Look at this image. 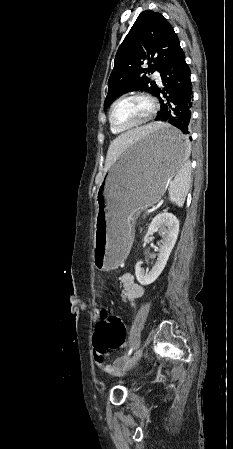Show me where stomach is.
Masks as SVG:
<instances>
[{
    "mask_svg": "<svg viewBox=\"0 0 233 449\" xmlns=\"http://www.w3.org/2000/svg\"><path fill=\"white\" fill-rule=\"evenodd\" d=\"M188 155L185 133L163 123L133 143L109 170L98 192L93 254L98 270L119 266L137 215L161 199Z\"/></svg>",
    "mask_w": 233,
    "mask_h": 449,
    "instance_id": "0dacf381",
    "label": "stomach"
}]
</instances>
